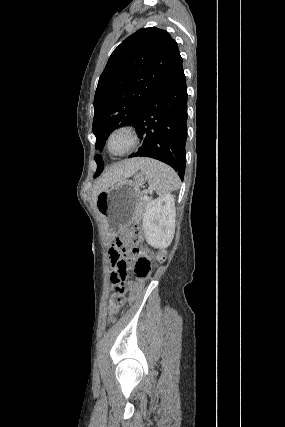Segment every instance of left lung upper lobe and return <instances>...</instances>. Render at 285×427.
Returning <instances> with one entry per match:
<instances>
[{
  "label": "left lung upper lobe",
  "instance_id": "left-lung-upper-lobe-1",
  "mask_svg": "<svg viewBox=\"0 0 285 427\" xmlns=\"http://www.w3.org/2000/svg\"><path fill=\"white\" fill-rule=\"evenodd\" d=\"M180 57L177 42L168 32L142 28L126 38L111 54L94 97L92 130L95 148L102 151L111 132L133 125L141 109ZM97 170H103L100 155Z\"/></svg>",
  "mask_w": 285,
  "mask_h": 427
}]
</instances>
